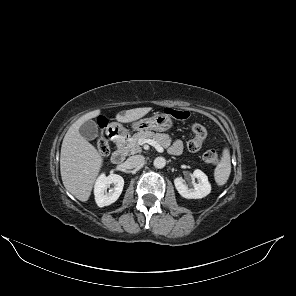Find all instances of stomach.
<instances>
[{"mask_svg": "<svg viewBox=\"0 0 296 296\" xmlns=\"http://www.w3.org/2000/svg\"><path fill=\"white\" fill-rule=\"evenodd\" d=\"M172 126V119L166 114H156L153 117L141 119L133 124V128L138 131L155 130L159 132L167 131Z\"/></svg>", "mask_w": 296, "mask_h": 296, "instance_id": "stomach-1", "label": "stomach"}]
</instances>
